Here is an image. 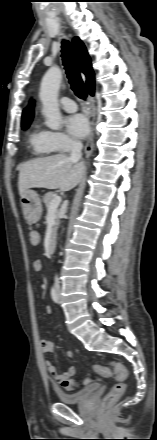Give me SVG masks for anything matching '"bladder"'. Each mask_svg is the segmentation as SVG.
Wrapping results in <instances>:
<instances>
[{"instance_id":"bladder-1","label":"bladder","mask_w":157,"mask_h":440,"mask_svg":"<svg viewBox=\"0 0 157 440\" xmlns=\"http://www.w3.org/2000/svg\"><path fill=\"white\" fill-rule=\"evenodd\" d=\"M97 386L95 384L89 385L77 392H66L63 390H55L56 397L58 400L65 404H79L85 402L90 398L95 391Z\"/></svg>"}]
</instances>
